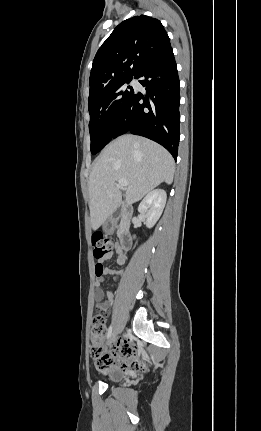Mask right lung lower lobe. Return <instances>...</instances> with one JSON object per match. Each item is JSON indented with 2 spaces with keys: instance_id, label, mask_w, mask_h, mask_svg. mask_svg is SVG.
Here are the masks:
<instances>
[{
  "instance_id": "1",
  "label": "right lung lower lobe",
  "mask_w": 261,
  "mask_h": 431,
  "mask_svg": "<svg viewBox=\"0 0 261 431\" xmlns=\"http://www.w3.org/2000/svg\"><path fill=\"white\" fill-rule=\"evenodd\" d=\"M135 78L146 95L134 92L116 125L113 138L126 132L164 146L176 160L180 139V85L172 47L147 63ZM143 100V102H140Z\"/></svg>"
}]
</instances>
